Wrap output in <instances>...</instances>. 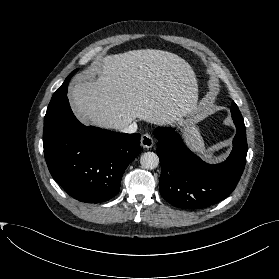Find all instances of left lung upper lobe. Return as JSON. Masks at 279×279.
<instances>
[{
  "label": "left lung upper lobe",
  "instance_id": "1",
  "mask_svg": "<svg viewBox=\"0 0 279 279\" xmlns=\"http://www.w3.org/2000/svg\"><path fill=\"white\" fill-rule=\"evenodd\" d=\"M231 113H232V118H233L234 121L244 123L243 117H242V115H241V113H240V111H239L235 102L232 103Z\"/></svg>",
  "mask_w": 279,
  "mask_h": 279
}]
</instances>
